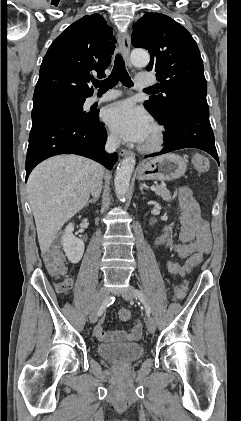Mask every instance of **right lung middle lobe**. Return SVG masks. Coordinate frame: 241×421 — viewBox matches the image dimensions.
Returning <instances> with one entry per match:
<instances>
[{"label": "right lung middle lobe", "mask_w": 241, "mask_h": 421, "mask_svg": "<svg viewBox=\"0 0 241 421\" xmlns=\"http://www.w3.org/2000/svg\"><path fill=\"white\" fill-rule=\"evenodd\" d=\"M66 103H67V100H56V101H49V102H45V103L33 106L32 117H34L38 114H41V113H43L47 110H50L52 108L64 105ZM74 104L77 105L82 118H84V119L92 118V113H86V112L83 111V102H77V103H74Z\"/></svg>", "instance_id": "right-lung-middle-lobe-1"}]
</instances>
